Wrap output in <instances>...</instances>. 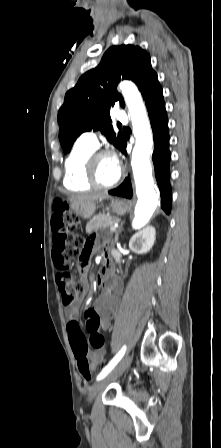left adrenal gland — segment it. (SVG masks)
<instances>
[{"instance_id":"left-adrenal-gland-1","label":"left adrenal gland","mask_w":221,"mask_h":448,"mask_svg":"<svg viewBox=\"0 0 221 448\" xmlns=\"http://www.w3.org/2000/svg\"><path fill=\"white\" fill-rule=\"evenodd\" d=\"M122 226H123V224H121V226L119 227L118 231L116 232V234H115V240H118L119 232L121 231Z\"/></svg>"}]
</instances>
